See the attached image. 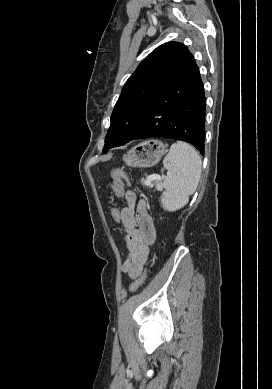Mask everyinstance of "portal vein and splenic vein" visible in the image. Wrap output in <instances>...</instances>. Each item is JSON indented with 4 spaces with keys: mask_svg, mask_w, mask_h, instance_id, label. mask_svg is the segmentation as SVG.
<instances>
[{
    "mask_svg": "<svg viewBox=\"0 0 272 389\" xmlns=\"http://www.w3.org/2000/svg\"><path fill=\"white\" fill-rule=\"evenodd\" d=\"M167 174H169V173H167ZM162 178H161V176H159V175H152V176H149L148 178H147V180H146V185H148V186H150L151 185V181H153V180H161Z\"/></svg>",
    "mask_w": 272,
    "mask_h": 389,
    "instance_id": "1",
    "label": "portal vein and splenic vein"
}]
</instances>
